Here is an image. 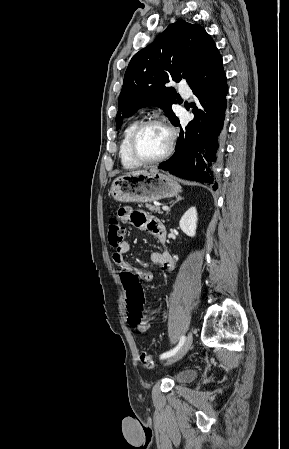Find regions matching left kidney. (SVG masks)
<instances>
[{
	"label": "left kidney",
	"instance_id": "obj_1",
	"mask_svg": "<svg viewBox=\"0 0 289 449\" xmlns=\"http://www.w3.org/2000/svg\"><path fill=\"white\" fill-rule=\"evenodd\" d=\"M197 220V210L195 207H191L182 216L179 226L187 236L194 237L196 234Z\"/></svg>",
	"mask_w": 289,
	"mask_h": 449
}]
</instances>
